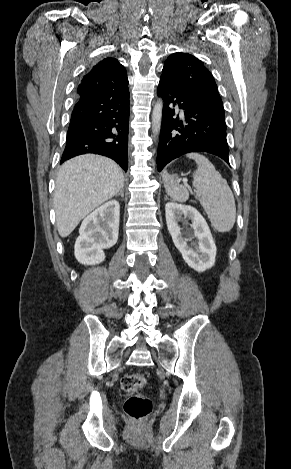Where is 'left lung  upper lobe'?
Segmentation results:
<instances>
[{
  "mask_svg": "<svg viewBox=\"0 0 291 469\" xmlns=\"http://www.w3.org/2000/svg\"><path fill=\"white\" fill-rule=\"evenodd\" d=\"M160 78L182 91L223 108L212 74L202 61L188 53L177 52L170 55Z\"/></svg>",
  "mask_w": 291,
  "mask_h": 469,
  "instance_id": "left-lung-upper-lobe-1",
  "label": "left lung upper lobe"
}]
</instances>
